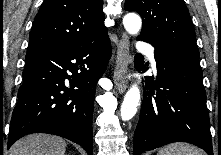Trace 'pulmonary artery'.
Segmentation results:
<instances>
[{"label":"pulmonary artery","mask_w":221,"mask_h":155,"mask_svg":"<svg viewBox=\"0 0 221 155\" xmlns=\"http://www.w3.org/2000/svg\"><path fill=\"white\" fill-rule=\"evenodd\" d=\"M140 50H142L143 52L147 53V55L149 56L152 65L156 66V62H155V58H154V53H153V48L146 45V44H141L139 46Z\"/></svg>","instance_id":"1"}]
</instances>
